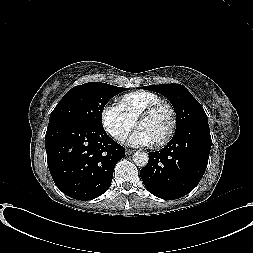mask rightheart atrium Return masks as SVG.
Returning a JSON list of instances; mask_svg holds the SVG:
<instances>
[{
	"mask_svg": "<svg viewBox=\"0 0 253 253\" xmlns=\"http://www.w3.org/2000/svg\"><path fill=\"white\" fill-rule=\"evenodd\" d=\"M105 130L117 141H124L135 125L123 108L117 103L107 104L101 113Z\"/></svg>",
	"mask_w": 253,
	"mask_h": 253,
	"instance_id": "1",
	"label": "right heart atrium"
}]
</instances>
